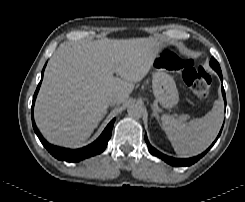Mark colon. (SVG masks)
<instances>
[{"label":"colon","mask_w":245,"mask_h":202,"mask_svg":"<svg viewBox=\"0 0 245 202\" xmlns=\"http://www.w3.org/2000/svg\"><path fill=\"white\" fill-rule=\"evenodd\" d=\"M164 57L170 66L180 71L196 99H204L211 87L208 74L196 66L193 60L180 58L172 49H167Z\"/></svg>","instance_id":"5ec220e1"}]
</instances>
